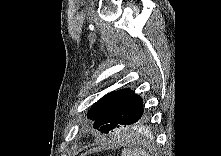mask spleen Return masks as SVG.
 I'll list each match as a JSON object with an SVG mask.
<instances>
[{
	"instance_id": "spleen-1",
	"label": "spleen",
	"mask_w": 221,
	"mask_h": 156,
	"mask_svg": "<svg viewBox=\"0 0 221 156\" xmlns=\"http://www.w3.org/2000/svg\"><path fill=\"white\" fill-rule=\"evenodd\" d=\"M123 156H148L146 154V152L144 151H140V150H135V151H132V150H124L123 153H122Z\"/></svg>"
}]
</instances>
